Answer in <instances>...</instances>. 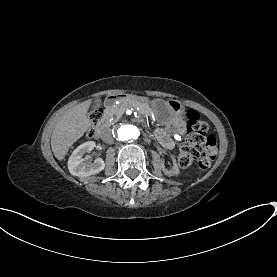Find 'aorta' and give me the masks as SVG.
I'll return each mask as SVG.
<instances>
[{"instance_id": "762f6f07", "label": "aorta", "mask_w": 277, "mask_h": 277, "mask_svg": "<svg viewBox=\"0 0 277 277\" xmlns=\"http://www.w3.org/2000/svg\"><path fill=\"white\" fill-rule=\"evenodd\" d=\"M115 139L119 142H133L142 134V127L131 120H121L113 128Z\"/></svg>"}]
</instances>
